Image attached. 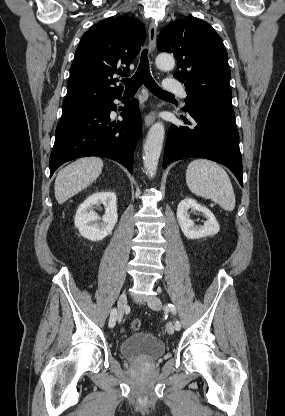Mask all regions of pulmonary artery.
I'll use <instances>...</instances> for the list:
<instances>
[{"instance_id": "obj_1", "label": "pulmonary artery", "mask_w": 285, "mask_h": 416, "mask_svg": "<svg viewBox=\"0 0 285 416\" xmlns=\"http://www.w3.org/2000/svg\"><path fill=\"white\" fill-rule=\"evenodd\" d=\"M164 84L165 87L168 88V94L170 96L178 94L183 99L187 97V91L183 85L179 83H172V80H166Z\"/></svg>"}]
</instances>
